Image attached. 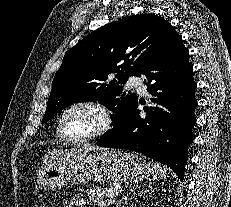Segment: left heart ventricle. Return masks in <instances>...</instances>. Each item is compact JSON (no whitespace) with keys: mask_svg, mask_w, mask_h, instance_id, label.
<instances>
[{"mask_svg":"<svg viewBox=\"0 0 231 207\" xmlns=\"http://www.w3.org/2000/svg\"><path fill=\"white\" fill-rule=\"evenodd\" d=\"M101 117L99 113L88 106H78L66 116L65 127L72 137H84L99 128Z\"/></svg>","mask_w":231,"mask_h":207,"instance_id":"left-heart-ventricle-1","label":"left heart ventricle"}]
</instances>
